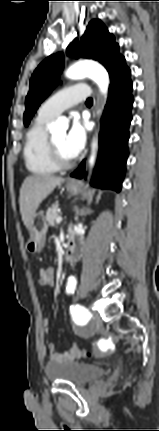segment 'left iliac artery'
I'll use <instances>...</instances> for the list:
<instances>
[{"instance_id": "44dca946", "label": "left iliac artery", "mask_w": 159, "mask_h": 431, "mask_svg": "<svg viewBox=\"0 0 159 431\" xmlns=\"http://www.w3.org/2000/svg\"><path fill=\"white\" fill-rule=\"evenodd\" d=\"M76 288V280L74 278L69 279L67 290L69 293H73ZM71 315L77 323L84 324L91 317V313L82 305L76 304L70 307Z\"/></svg>"}]
</instances>
